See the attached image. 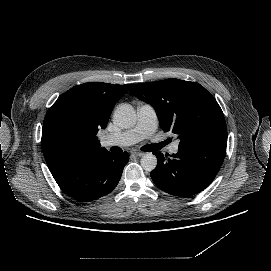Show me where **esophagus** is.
Returning a JSON list of instances; mask_svg holds the SVG:
<instances>
[{"instance_id": "34e87169", "label": "esophagus", "mask_w": 271, "mask_h": 271, "mask_svg": "<svg viewBox=\"0 0 271 271\" xmlns=\"http://www.w3.org/2000/svg\"><path fill=\"white\" fill-rule=\"evenodd\" d=\"M132 154H134L135 156H138V157H142V156H144L145 155V153L144 152H140V151H133L132 152Z\"/></svg>"}]
</instances>
